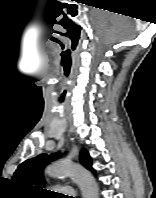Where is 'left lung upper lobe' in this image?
Here are the masks:
<instances>
[{"mask_svg":"<svg viewBox=\"0 0 156 198\" xmlns=\"http://www.w3.org/2000/svg\"><path fill=\"white\" fill-rule=\"evenodd\" d=\"M54 159H56V154L51 157H48L46 154H41L35 158L24 161L14 173L12 181L23 187L42 191L41 187L44 183L43 168ZM80 162L89 170H93L91 157L85 149L81 151Z\"/></svg>","mask_w":156,"mask_h":198,"instance_id":"left-lung-upper-lobe-1","label":"left lung upper lobe"}]
</instances>
